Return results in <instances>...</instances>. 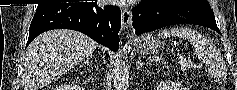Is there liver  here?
Returning <instances> with one entry per match:
<instances>
[{
    "label": "liver",
    "instance_id": "1",
    "mask_svg": "<svg viewBox=\"0 0 237 90\" xmlns=\"http://www.w3.org/2000/svg\"><path fill=\"white\" fill-rule=\"evenodd\" d=\"M98 44L74 30H51L35 38L23 58L24 90H42L85 58H91Z\"/></svg>",
    "mask_w": 237,
    "mask_h": 90
}]
</instances>
